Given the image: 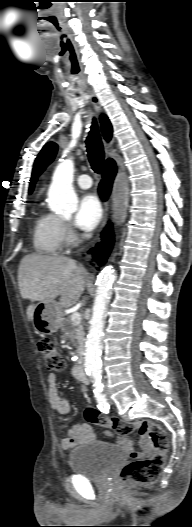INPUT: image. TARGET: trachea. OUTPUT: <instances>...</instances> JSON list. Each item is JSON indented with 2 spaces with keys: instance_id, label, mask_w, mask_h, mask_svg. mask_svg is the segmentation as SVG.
Wrapping results in <instances>:
<instances>
[{
  "instance_id": "obj_1",
  "label": "trachea",
  "mask_w": 192,
  "mask_h": 527,
  "mask_svg": "<svg viewBox=\"0 0 192 527\" xmlns=\"http://www.w3.org/2000/svg\"><path fill=\"white\" fill-rule=\"evenodd\" d=\"M86 139L89 162L95 173H100L104 162V148L96 119H93Z\"/></svg>"
}]
</instances>
